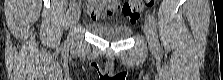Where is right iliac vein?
<instances>
[{
	"mask_svg": "<svg viewBox=\"0 0 223 80\" xmlns=\"http://www.w3.org/2000/svg\"><path fill=\"white\" fill-rule=\"evenodd\" d=\"M80 14H81L80 8L78 6L75 7V9L73 10V13H72V24L73 25L79 21Z\"/></svg>",
	"mask_w": 223,
	"mask_h": 80,
	"instance_id": "right-iliac-vein-1",
	"label": "right iliac vein"
}]
</instances>
